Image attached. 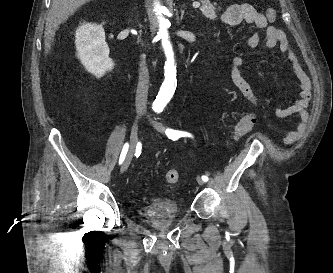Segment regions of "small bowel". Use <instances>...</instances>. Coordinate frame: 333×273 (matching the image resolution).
Segmentation results:
<instances>
[{
	"label": "small bowel",
	"mask_w": 333,
	"mask_h": 273,
	"mask_svg": "<svg viewBox=\"0 0 333 273\" xmlns=\"http://www.w3.org/2000/svg\"><path fill=\"white\" fill-rule=\"evenodd\" d=\"M266 15L256 10L252 5L248 3L231 4L223 12L221 19L227 27H237L241 23L246 22L254 25L258 29L266 30L265 45L268 49H272L276 46L280 48L282 52L286 54L287 60L293 67L294 73L298 78L301 86L302 97L294 105L286 108H280L277 110L279 117H288L293 114H297L303 120L305 118L304 109L307 104V78L303 70L301 69L298 58L294 51L291 49L290 44L286 38L285 33L276 26H271L265 21ZM261 43V38L258 34H252L246 39V45L251 48L258 47ZM245 60L241 56H235L230 60L229 75L241 94L254 106H260V101L257 98L254 90L249 83L244 79L241 74V68L244 66ZM256 122V117H253ZM302 129V126L298 127V131ZM296 137V132L289 135L288 140H293Z\"/></svg>",
	"instance_id": "small-bowel-1"
}]
</instances>
